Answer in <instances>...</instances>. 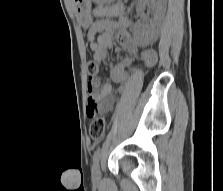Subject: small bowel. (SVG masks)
Returning a JSON list of instances; mask_svg holds the SVG:
<instances>
[{"label":"small bowel","mask_w":223,"mask_h":191,"mask_svg":"<svg viewBox=\"0 0 223 191\" xmlns=\"http://www.w3.org/2000/svg\"><path fill=\"white\" fill-rule=\"evenodd\" d=\"M99 1V0H96ZM118 11L117 7H104L99 5L95 9L97 19L92 23L89 30V38L91 40L90 47L93 51V57L97 62H101L108 55L109 49L113 45V37L116 36L121 48L130 55H136L138 52V44L136 40L129 34V20L126 18L114 19L113 16ZM142 62L145 66L155 64L157 55L154 50H145L141 54ZM132 65V58L126 57L108 70V75L113 82L119 83V91L123 90V83L126 79V72ZM99 83L97 81H89L87 90L89 92L87 115L93 116L96 111L108 112L113 105L112 86L109 82H105L98 92ZM94 109V113L90 112Z\"/></svg>","instance_id":"c3829d8e"}]
</instances>
